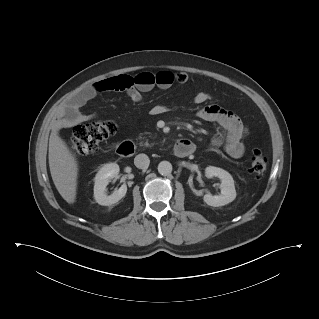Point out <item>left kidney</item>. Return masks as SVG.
<instances>
[{"label":"left kidney","instance_id":"left-kidney-1","mask_svg":"<svg viewBox=\"0 0 319 319\" xmlns=\"http://www.w3.org/2000/svg\"><path fill=\"white\" fill-rule=\"evenodd\" d=\"M205 175L207 177H218L221 180V194L213 196L208 193L204 195L203 199L208 205L214 207L224 206L236 198L234 180L230 173L224 169L209 166L205 168Z\"/></svg>","mask_w":319,"mask_h":319}]
</instances>
